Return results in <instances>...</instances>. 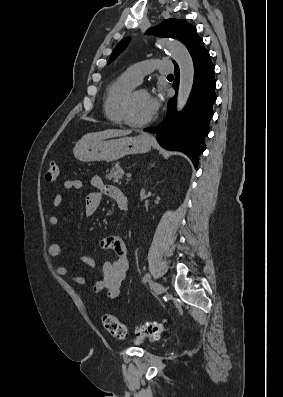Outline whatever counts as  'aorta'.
I'll list each match as a JSON object with an SVG mask.
<instances>
[{"label": "aorta", "mask_w": 283, "mask_h": 397, "mask_svg": "<svg viewBox=\"0 0 283 397\" xmlns=\"http://www.w3.org/2000/svg\"><path fill=\"white\" fill-rule=\"evenodd\" d=\"M158 44L166 49L180 69V83L177 96V110L181 111L191 93L194 82V65L186 46L173 39H160Z\"/></svg>", "instance_id": "762f6f07"}]
</instances>
